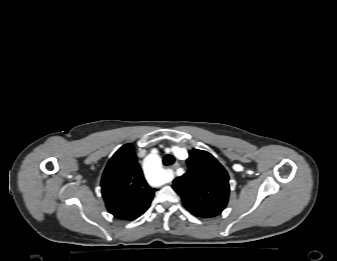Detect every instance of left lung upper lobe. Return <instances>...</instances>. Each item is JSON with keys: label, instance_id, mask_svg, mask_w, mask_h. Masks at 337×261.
Returning <instances> with one entry per match:
<instances>
[{"label": "left lung upper lobe", "instance_id": "1", "mask_svg": "<svg viewBox=\"0 0 337 261\" xmlns=\"http://www.w3.org/2000/svg\"><path fill=\"white\" fill-rule=\"evenodd\" d=\"M188 171L173 181L187 210L201 218L219 215L229 198V176L210 153L192 150L186 161Z\"/></svg>", "mask_w": 337, "mask_h": 261}]
</instances>
